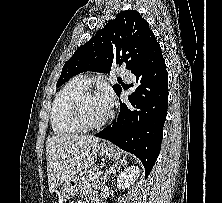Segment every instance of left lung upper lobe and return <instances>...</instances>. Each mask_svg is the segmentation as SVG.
<instances>
[{"label":"left lung upper lobe","instance_id":"left-lung-upper-lobe-1","mask_svg":"<svg viewBox=\"0 0 222 203\" xmlns=\"http://www.w3.org/2000/svg\"><path fill=\"white\" fill-rule=\"evenodd\" d=\"M151 32L137 11H121L75 51L63 66L57 86L81 72H110L113 64H125L130 70L140 59ZM113 89L117 95L122 90L118 84Z\"/></svg>","mask_w":222,"mask_h":203}]
</instances>
